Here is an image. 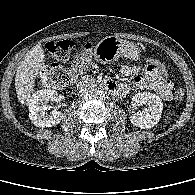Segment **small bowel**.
Listing matches in <instances>:
<instances>
[{
  "mask_svg": "<svg viewBox=\"0 0 195 195\" xmlns=\"http://www.w3.org/2000/svg\"><path fill=\"white\" fill-rule=\"evenodd\" d=\"M120 72L124 75L131 76L134 85L138 87H148L154 90L163 100L169 101L172 98L173 85L168 78L159 79L149 74L145 68L139 66L121 65ZM129 87L122 84L114 94L116 97H123L127 94Z\"/></svg>",
  "mask_w": 195,
  "mask_h": 195,
  "instance_id": "small-bowel-1",
  "label": "small bowel"
}]
</instances>
